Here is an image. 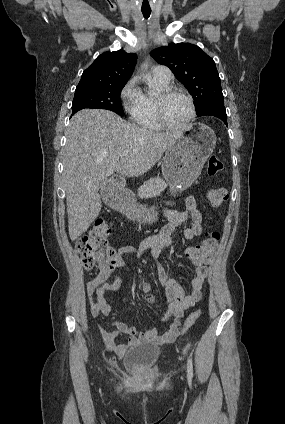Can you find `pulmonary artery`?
Returning a JSON list of instances; mask_svg holds the SVG:
<instances>
[{
    "mask_svg": "<svg viewBox=\"0 0 285 424\" xmlns=\"http://www.w3.org/2000/svg\"><path fill=\"white\" fill-rule=\"evenodd\" d=\"M153 77L165 84H169L172 79V73L166 66H155L152 69Z\"/></svg>",
    "mask_w": 285,
    "mask_h": 424,
    "instance_id": "e3ab8cb5",
    "label": "pulmonary artery"
}]
</instances>
